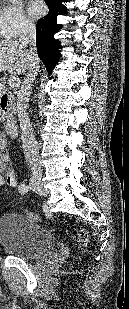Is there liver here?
<instances>
[{
  "label": "liver",
  "instance_id": "obj_1",
  "mask_svg": "<svg viewBox=\"0 0 129 309\" xmlns=\"http://www.w3.org/2000/svg\"><path fill=\"white\" fill-rule=\"evenodd\" d=\"M32 66L28 50L17 40L0 41V72L26 74Z\"/></svg>",
  "mask_w": 129,
  "mask_h": 309
}]
</instances>
